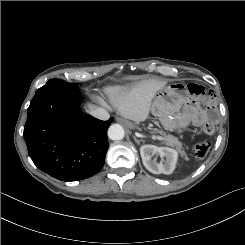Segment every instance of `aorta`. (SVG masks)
<instances>
[{"label": "aorta", "instance_id": "obj_1", "mask_svg": "<svg viewBox=\"0 0 245 245\" xmlns=\"http://www.w3.org/2000/svg\"><path fill=\"white\" fill-rule=\"evenodd\" d=\"M108 137L111 140H121L124 138V129L119 124H112L108 129Z\"/></svg>", "mask_w": 245, "mask_h": 245}]
</instances>
